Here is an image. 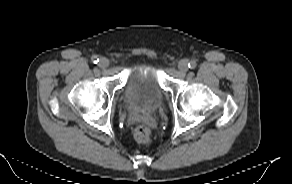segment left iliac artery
<instances>
[{
	"instance_id": "left-iliac-artery-1",
	"label": "left iliac artery",
	"mask_w": 292,
	"mask_h": 184,
	"mask_svg": "<svg viewBox=\"0 0 292 184\" xmlns=\"http://www.w3.org/2000/svg\"><path fill=\"white\" fill-rule=\"evenodd\" d=\"M196 66H197V63H196L195 61H190V62L188 63V67H189L190 69H194Z\"/></svg>"
}]
</instances>
